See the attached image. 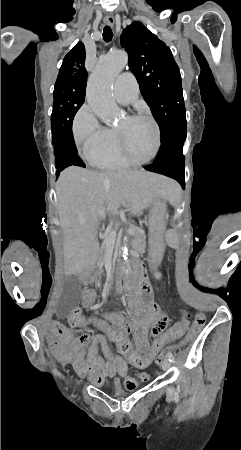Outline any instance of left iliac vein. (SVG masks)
<instances>
[{
	"label": "left iliac vein",
	"mask_w": 241,
	"mask_h": 450,
	"mask_svg": "<svg viewBox=\"0 0 241 450\" xmlns=\"http://www.w3.org/2000/svg\"><path fill=\"white\" fill-rule=\"evenodd\" d=\"M169 368H170V362H169V360L166 358V359H164V361H163L162 369H163L164 371H168ZM167 394L170 395V396L174 395V388H173V387H168V388H167Z\"/></svg>",
	"instance_id": "obj_1"
}]
</instances>
